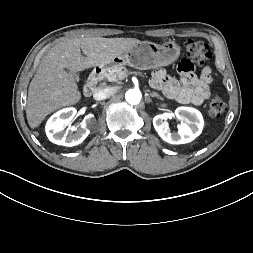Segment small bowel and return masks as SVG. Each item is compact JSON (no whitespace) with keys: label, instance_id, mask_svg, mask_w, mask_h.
<instances>
[{"label":"small bowel","instance_id":"obj_1","mask_svg":"<svg viewBox=\"0 0 253 253\" xmlns=\"http://www.w3.org/2000/svg\"><path fill=\"white\" fill-rule=\"evenodd\" d=\"M198 70V64L194 60L182 58L176 65L180 80L168 76L164 69H156L152 73L150 84L169 99L201 105L210 96L212 72L210 68H205L200 75H196Z\"/></svg>","mask_w":253,"mask_h":253}]
</instances>
